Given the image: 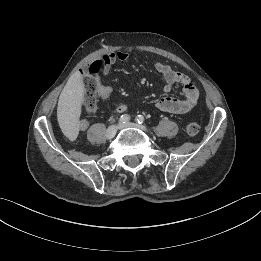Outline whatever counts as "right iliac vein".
Returning a JSON list of instances; mask_svg holds the SVG:
<instances>
[{
    "mask_svg": "<svg viewBox=\"0 0 261 261\" xmlns=\"http://www.w3.org/2000/svg\"><path fill=\"white\" fill-rule=\"evenodd\" d=\"M118 130V126L117 125H111L110 127H108V129L106 130V137L108 139H112Z\"/></svg>",
    "mask_w": 261,
    "mask_h": 261,
    "instance_id": "obj_1",
    "label": "right iliac vein"
}]
</instances>
